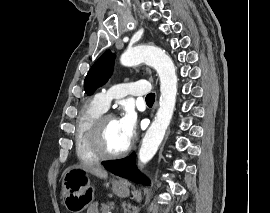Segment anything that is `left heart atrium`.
<instances>
[{
	"instance_id": "obj_1",
	"label": "left heart atrium",
	"mask_w": 270,
	"mask_h": 213,
	"mask_svg": "<svg viewBox=\"0 0 270 213\" xmlns=\"http://www.w3.org/2000/svg\"><path fill=\"white\" fill-rule=\"evenodd\" d=\"M118 123L126 143L129 145L136 134V116L134 112L127 108L123 115L118 119Z\"/></svg>"
}]
</instances>
